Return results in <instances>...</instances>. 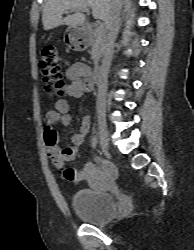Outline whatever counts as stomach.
<instances>
[{
    "label": "stomach",
    "mask_w": 194,
    "mask_h": 250,
    "mask_svg": "<svg viewBox=\"0 0 194 250\" xmlns=\"http://www.w3.org/2000/svg\"><path fill=\"white\" fill-rule=\"evenodd\" d=\"M64 39L69 42L76 51H81L87 46L85 29L81 24L69 27L64 35Z\"/></svg>",
    "instance_id": "1"
}]
</instances>
